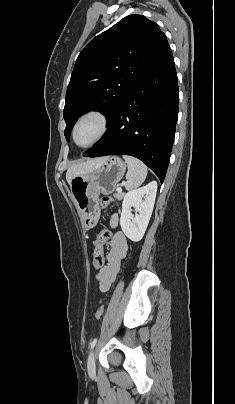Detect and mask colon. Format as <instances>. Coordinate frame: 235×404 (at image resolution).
<instances>
[{
  "label": "colon",
  "instance_id": "5ec220e1",
  "mask_svg": "<svg viewBox=\"0 0 235 404\" xmlns=\"http://www.w3.org/2000/svg\"><path fill=\"white\" fill-rule=\"evenodd\" d=\"M112 202V198L109 196H103L101 199V204L103 207H107ZM111 231L108 228L102 229L95 241V250L93 254V266L94 268H102L105 262L104 257V245L110 239ZM104 314V307L101 306L97 309L95 313V318L97 320L101 319Z\"/></svg>",
  "mask_w": 235,
  "mask_h": 404
}]
</instances>
